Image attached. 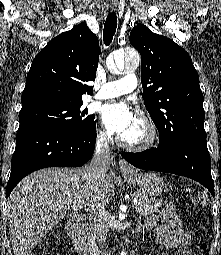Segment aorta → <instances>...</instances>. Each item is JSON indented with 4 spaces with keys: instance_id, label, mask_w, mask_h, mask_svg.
Segmentation results:
<instances>
[{
    "instance_id": "762f6f07",
    "label": "aorta",
    "mask_w": 221,
    "mask_h": 255,
    "mask_svg": "<svg viewBox=\"0 0 221 255\" xmlns=\"http://www.w3.org/2000/svg\"><path fill=\"white\" fill-rule=\"evenodd\" d=\"M114 61L118 70H130L133 71L139 66V56L136 53L115 52Z\"/></svg>"
}]
</instances>
